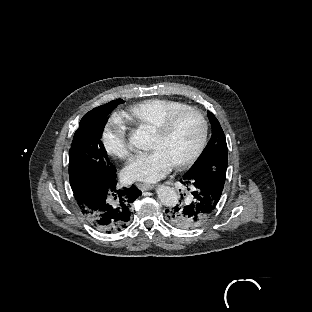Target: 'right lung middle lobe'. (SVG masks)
I'll use <instances>...</instances> for the list:
<instances>
[{"label":"right lung middle lobe","mask_w":312,"mask_h":312,"mask_svg":"<svg viewBox=\"0 0 312 312\" xmlns=\"http://www.w3.org/2000/svg\"><path fill=\"white\" fill-rule=\"evenodd\" d=\"M115 107L105 112L94 109L79 123L69 152V178L74 195L81 189L116 177V168L109 161L100 140L106 115Z\"/></svg>","instance_id":"right-lung-middle-lobe-1"}]
</instances>
